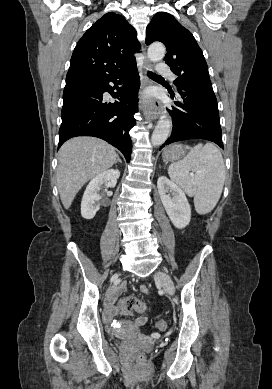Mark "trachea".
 I'll list each match as a JSON object with an SVG mask.
<instances>
[{"mask_svg": "<svg viewBox=\"0 0 272 389\" xmlns=\"http://www.w3.org/2000/svg\"><path fill=\"white\" fill-rule=\"evenodd\" d=\"M148 76L150 77V78H161V76L160 75H157V74H155V73H153V72H151V71H148Z\"/></svg>", "mask_w": 272, "mask_h": 389, "instance_id": "obj_1", "label": "trachea"}]
</instances>
